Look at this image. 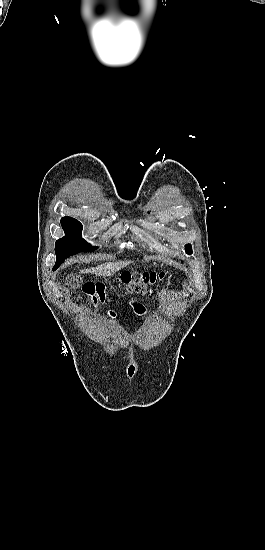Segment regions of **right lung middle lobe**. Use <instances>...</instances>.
I'll return each instance as SVG.
<instances>
[{
	"label": "right lung middle lobe",
	"instance_id": "dd1d6c3e",
	"mask_svg": "<svg viewBox=\"0 0 265 550\" xmlns=\"http://www.w3.org/2000/svg\"><path fill=\"white\" fill-rule=\"evenodd\" d=\"M61 225L66 235L56 241L55 253L57 257L54 267H59L66 258L75 253L97 249L82 239L83 226L79 221L71 217H64L61 219Z\"/></svg>",
	"mask_w": 265,
	"mask_h": 550
}]
</instances>
